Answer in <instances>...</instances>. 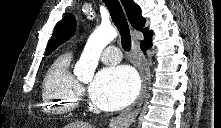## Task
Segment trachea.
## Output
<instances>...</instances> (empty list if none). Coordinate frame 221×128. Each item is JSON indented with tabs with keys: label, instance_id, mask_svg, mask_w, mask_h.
<instances>
[{
	"label": "trachea",
	"instance_id": "obj_1",
	"mask_svg": "<svg viewBox=\"0 0 221 128\" xmlns=\"http://www.w3.org/2000/svg\"><path fill=\"white\" fill-rule=\"evenodd\" d=\"M106 7L108 8L112 21L117 27L120 36H121V44L122 48L125 51H129L131 49V36L129 31V26L123 9L118 0H103Z\"/></svg>",
	"mask_w": 221,
	"mask_h": 128
}]
</instances>
